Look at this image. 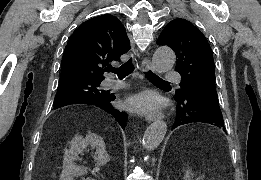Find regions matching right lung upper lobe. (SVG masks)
I'll use <instances>...</instances> for the list:
<instances>
[{
    "mask_svg": "<svg viewBox=\"0 0 261 180\" xmlns=\"http://www.w3.org/2000/svg\"><path fill=\"white\" fill-rule=\"evenodd\" d=\"M130 49L122 23L101 15L82 23L71 35L62 58L59 81L104 80V67Z\"/></svg>",
    "mask_w": 261,
    "mask_h": 180,
    "instance_id": "cb5924a9",
    "label": "right lung upper lobe"
}]
</instances>
